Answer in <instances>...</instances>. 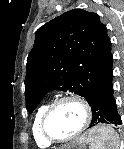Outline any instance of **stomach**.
Listing matches in <instances>:
<instances>
[{
    "instance_id": "obj_1",
    "label": "stomach",
    "mask_w": 124,
    "mask_h": 149,
    "mask_svg": "<svg viewBox=\"0 0 124 149\" xmlns=\"http://www.w3.org/2000/svg\"><path fill=\"white\" fill-rule=\"evenodd\" d=\"M101 127H96L88 131L84 136H82L79 140H77L75 143L68 145L64 149H84L83 147L86 146V144L89 143V138L95 135L96 129Z\"/></svg>"
}]
</instances>
